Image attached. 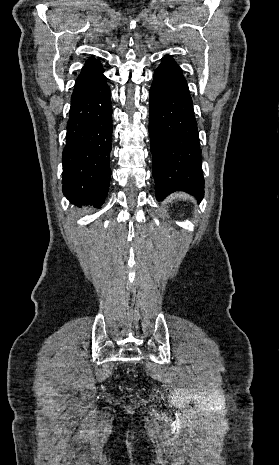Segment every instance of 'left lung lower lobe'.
<instances>
[{"instance_id": "0a47b994", "label": "left lung lower lobe", "mask_w": 279, "mask_h": 465, "mask_svg": "<svg viewBox=\"0 0 279 465\" xmlns=\"http://www.w3.org/2000/svg\"><path fill=\"white\" fill-rule=\"evenodd\" d=\"M149 134L156 199L185 191L201 200L204 178L192 99L181 68L169 55L154 72Z\"/></svg>"}]
</instances>
